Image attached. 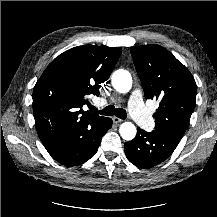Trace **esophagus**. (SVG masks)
<instances>
[{
  "label": "esophagus",
  "instance_id": "34e87169",
  "mask_svg": "<svg viewBox=\"0 0 217 217\" xmlns=\"http://www.w3.org/2000/svg\"><path fill=\"white\" fill-rule=\"evenodd\" d=\"M112 120H113V122L115 123V124H118V123H121L123 120L122 119H120V118H118V117H113L112 118Z\"/></svg>",
  "mask_w": 217,
  "mask_h": 217
}]
</instances>
